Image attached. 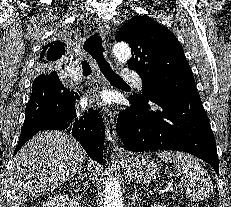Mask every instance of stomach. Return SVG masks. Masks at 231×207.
<instances>
[{"label":"stomach","mask_w":231,"mask_h":207,"mask_svg":"<svg viewBox=\"0 0 231 207\" xmlns=\"http://www.w3.org/2000/svg\"><path fill=\"white\" fill-rule=\"evenodd\" d=\"M121 164L129 178L139 183H149L159 174L158 164L146 154L124 157Z\"/></svg>","instance_id":"stomach-1"}]
</instances>
